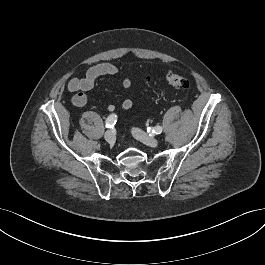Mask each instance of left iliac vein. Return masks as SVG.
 I'll return each instance as SVG.
<instances>
[{
    "mask_svg": "<svg viewBox=\"0 0 265 265\" xmlns=\"http://www.w3.org/2000/svg\"><path fill=\"white\" fill-rule=\"evenodd\" d=\"M132 134L133 136L143 142L144 144L151 146V147H156L159 143L158 139L155 137L149 136L147 133L143 132L142 130L138 128H133L132 129Z\"/></svg>",
    "mask_w": 265,
    "mask_h": 265,
    "instance_id": "4c4485c4",
    "label": "left iliac vein"
}]
</instances>
